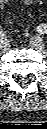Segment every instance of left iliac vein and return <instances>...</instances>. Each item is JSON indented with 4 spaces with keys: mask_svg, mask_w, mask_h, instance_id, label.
Returning <instances> with one entry per match:
<instances>
[{
    "mask_svg": "<svg viewBox=\"0 0 47 129\" xmlns=\"http://www.w3.org/2000/svg\"><path fill=\"white\" fill-rule=\"evenodd\" d=\"M29 44L32 48L38 50L41 54L46 55L44 43L39 36L30 38Z\"/></svg>",
    "mask_w": 47,
    "mask_h": 129,
    "instance_id": "1",
    "label": "left iliac vein"
}]
</instances>
